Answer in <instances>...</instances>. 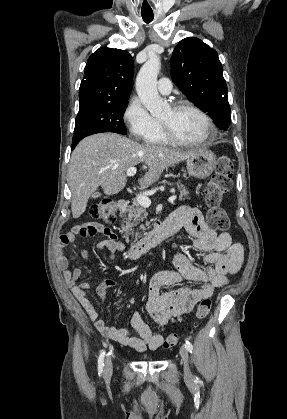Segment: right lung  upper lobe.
Segmentation results:
<instances>
[{
  "mask_svg": "<svg viewBox=\"0 0 287 419\" xmlns=\"http://www.w3.org/2000/svg\"><path fill=\"white\" fill-rule=\"evenodd\" d=\"M134 63L126 50L101 47L86 64L79 89V110L109 102L128 101Z\"/></svg>",
  "mask_w": 287,
  "mask_h": 419,
  "instance_id": "right-lung-upper-lobe-1",
  "label": "right lung upper lobe"
}]
</instances>
